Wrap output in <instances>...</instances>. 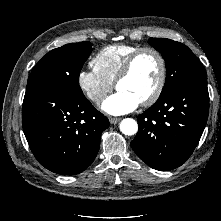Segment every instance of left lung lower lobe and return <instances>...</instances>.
<instances>
[{
  "label": "left lung lower lobe",
  "mask_w": 221,
  "mask_h": 221,
  "mask_svg": "<svg viewBox=\"0 0 221 221\" xmlns=\"http://www.w3.org/2000/svg\"><path fill=\"white\" fill-rule=\"evenodd\" d=\"M208 111L207 80L184 83L159 97L137 117L139 129L131 147L153 169H175L196 148L207 123Z\"/></svg>",
  "instance_id": "1"
}]
</instances>
